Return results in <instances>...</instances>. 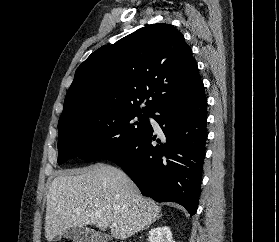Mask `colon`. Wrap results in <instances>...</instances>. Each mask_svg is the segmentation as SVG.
<instances>
[{
    "label": "colon",
    "mask_w": 279,
    "mask_h": 242,
    "mask_svg": "<svg viewBox=\"0 0 279 242\" xmlns=\"http://www.w3.org/2000/svg\"><path fill=\"white\" fill-rule=\"evenodd\" d=\"M66 242H72V241H66ZM114 242H122V241H120V240H117V241H114Z\"/></svg>",
    "instance_id": "5ec220e1"
}]
</instances>
